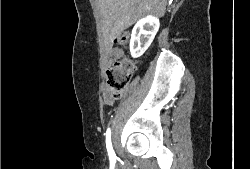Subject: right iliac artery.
Segmentation results:
<instances>
[{
  "mask_svg": "<svg viewBox=\"0 0 250 169\" xmlns=\"http://www.w3.org/2000/svg\"><path fill=\"white\" fill-rule=\"evenodd\" d=\"M106 147H107L110 161L111 162L116 161V154L113 150L112 143H111V130H110V128H108L107 132H106Z\"/></svg>",
  "mask_w": 250,
  "mask_h": 169,
  "instance_id": "82829eb1",
  "label": "right iliac artery"
}]
</instances>
